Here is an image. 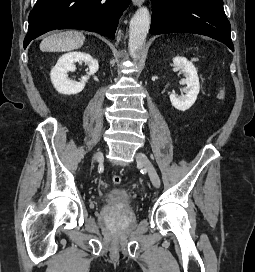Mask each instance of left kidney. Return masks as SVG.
Here are the masks:
<instances>
[{
    "label": "left kidney",
    "instance_id": "1",
    "mask_svg": "<svg viewBox=\"0 0 255 272\" xmlns=\"http://www.w3.org/2000/svg\"><path fill=\"white\" fill-rule=\"evenodd\" d=\"M173 63L181 72L184 73L185 79L182 83L186 85L183 88L181 96L175 94L170 95L171 104L180 111L188 110L196 101L200 90L199 78L193 63L188 61L185 57L173 58Z\"/></svg>",
    "mask_w": 255,
    "mask_h": 272
}]
</instances>
